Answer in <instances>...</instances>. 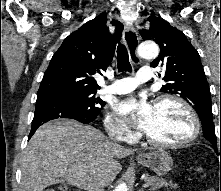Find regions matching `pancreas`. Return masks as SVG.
<instances>
[{
    "label": "pancreas",
    "instance_id": "obj_1",
    "mask_svg": "<svg viewBox=\"0 0 221 191\" xmlns=\"http://www.w3.org/2000/svg\"><path fill=\"white\" fill-rule=\"evenodd\" d=\"M144 182L149 186L152 190H157L162 187H171V188H177L178 186L176 184H173L172 182H167V180L163 178H159L156 176H150L146 175L144 177Z\"/></svg>",
    "mask_w": 221,
    "mask_h": 191
}]
</instances>
